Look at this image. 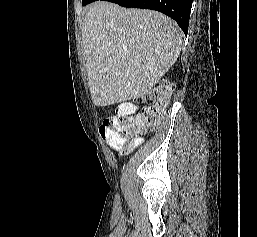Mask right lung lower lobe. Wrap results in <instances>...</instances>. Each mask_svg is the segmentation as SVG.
<instances>
[{"label":"right lung lower lobe","instance_id":"1","mask_svg":"<svg viewBox=\"0 0 257 237\" xmlns=\"http://www.w3.org/2000/svg\"><path fill=\"white\" fill-rule=\"evenodd\" d=\"M123 7H134L160 11L176 20L186 34L189 26V15L192 0H105Z\"/></svg>","mask_w":257,"mask_h":237}]
</instances>
